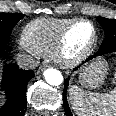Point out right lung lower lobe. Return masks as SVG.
Listing matches in <instances>:
<instances>
[{"mask_svg":"<svg viewBox=\"0 0 116 116\" xmlns=\"http://www.w3.org/2000/svg\"><path fill=\"white\" fill-rule=\"evenodd\" d=\"M5 54V51L0 53L2 57ZM33 76V71L19 69L17 64H7L4 67L1 89L6 95V103L0 108V116H23L25 114L27 84Z\"/></svg>","mask_w":116,"mask_h":116,"instance_id":"obj_1","label":"right lung lower lobe"}]
</instances>
